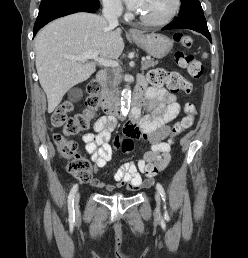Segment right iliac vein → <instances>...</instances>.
Instances as JSON below:
<instances>
[{
  "mask_svg": "<svg viewBox=\"0 0 248 258\" xmlns=\"http://www.w3.org/2000/svg\"><path fill=\"white\" fill-rule=\"evenodd\" d=\"M79 200H80V193H77L74 199L76 209L78 208Z\"/></svg>",
  "mask_w": 248,
  "mask_h": 258,
  "instance_id": "right-iliac-vein-1",
  "label": "right iliac vein"
}]
</instances>
